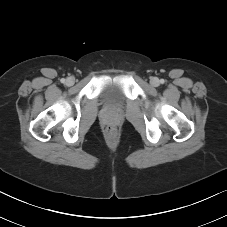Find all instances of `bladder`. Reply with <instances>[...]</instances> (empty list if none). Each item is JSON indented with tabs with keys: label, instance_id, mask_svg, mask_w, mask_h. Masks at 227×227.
I'll use <instances>...</instances> for the list:
<instances>
[{
	"label": "bladder",
	"instance_id": "bladder-1",
	"mask_svg": "<svg viewBox=\"0 0 227 227\" xmlns=\"http://www.w3.org/2000/svg\"><path fill=\"white\" fill-rule=\"evenodd\" d=\"M102 102L109 107H118L124 101L123 86L118 81L110 80L105 83L100 91Z\"/></svg>",
	"mask_w": 227,
	"mask_h": 227
}]
</instances>
